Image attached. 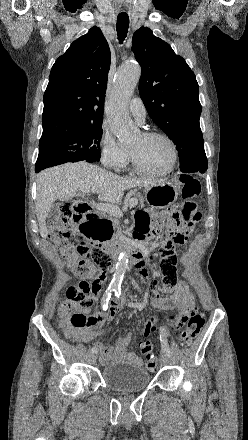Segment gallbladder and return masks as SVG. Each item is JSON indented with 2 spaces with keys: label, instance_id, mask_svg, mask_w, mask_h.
<instances>
[{
  "label": "gallbladder",
  "instance_id": "bac80fb5",
  "mask_svg": "<svg viewBox=\"0 0 248 440\" xmlns=\"http://www.w3.org/2000/svg\"><path fill=\"white\" fill-rule=\"evenodd\" d=\"M59 206L60 205L58 203L53 204L49 213H48V217H52L59 210Z\"/></svg>",
  "mask_w": 248,
  "mask_h": 440
}]
</instances>
